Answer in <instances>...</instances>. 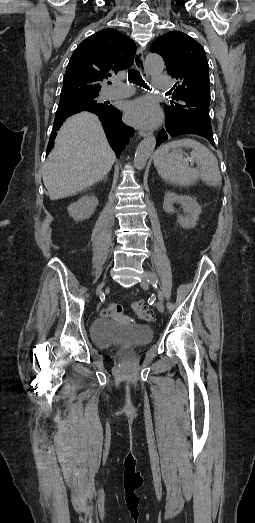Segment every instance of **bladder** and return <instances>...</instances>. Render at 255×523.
<instances>
[{
	"label": "bladder",
	"instance_id": "obj_1",
	"mask_svg": "<svg viewBox=\"0 0 255 523\" xmlns=\"http://www.w3.org/2000/svg\"><path fill=\"white\" fill-rule=\"evenodd\" d=\"M152 337L153 331L147 325H122L107 318L93 321L91 328V339L101 346L115 345L118 342L127 345L141 344Z\"/></svg>",
	"mask_w": 255,
	"mask_h": 523
}]
</instances>
